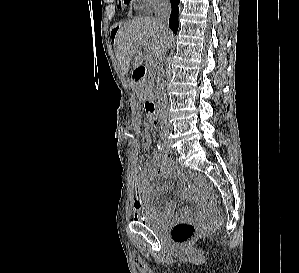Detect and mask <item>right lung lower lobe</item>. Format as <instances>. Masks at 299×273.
Returning <instances> with one entry per match:
<instances>
[{"instance_id": "obj_1", "label": "right lung lower lobe", "mask_w": 299, "mask_h": 273, "mask_svg": "<svg viewBox=\"0 0 299 273\" xmlns=\"http://www.w3.org/2000/svg\"><path fill=\"white\" fill-rule=\"evenodd\" d=\"M172 5V12L169 19V27L176 34L178 30V12H179V2L180 0H170Z\"/></svg>"}]
</instances>
